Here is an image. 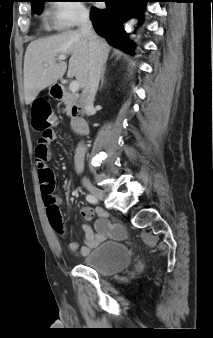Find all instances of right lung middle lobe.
<instances>
[{
  "instance_id": "right-lung-middle-lobe-1",
  "label": "right lung middle lobe",
  "mask_w": 213,
  "mask_h": 338,
  "mask_svg": "<svg viewBox=\"0 0 213 338\" xmlns=\"http://www.w3.org/2000/svg\"><path fill=\"white\" fill-rule=\"evenodd\" d=\"M45 1L47 0H31L30 2H31L33 12L39 14L43 9V3Z\"/></svg>"
}]
</instances>
